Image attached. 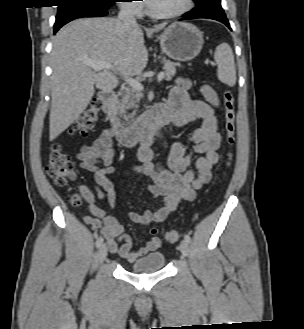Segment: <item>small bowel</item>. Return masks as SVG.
Returning a JSON list of instances; mask_svg holds the SVG:
<instances>
[{
  "instance_id": "1",
  "label": "small bowel",
  "mask_w": 304,
  "mask_h": 329,
  "mask_svg": "<svg viewBox=\"0 0 304 329\" xmlns=\"http://www.w3.org/2000/svg\"><path fill=\"white\" fill-rule=\"evenodd\" d=\"M191 89L192 84L188 79H178L170 90L164 107L171 110L172 123L176 126H186L197 119L202 120L201 126L191 130L187 138L193 152L200 156L192 167V154L185 142L177 141L172 146L168 168L158 167L151 161H142L124 171L123 176L132 171L149 175L152 182L148 190L152 198L163 197L162 206L157 211L131 212L129 217L134 223L149 225L163 222L180 201L193 200L196 191L208 184L212 178V167L219 161L218 150L221 145V135L214 114L219 98L210 85H203L200 89L206 101L193 99ZM112 138V129L107 128L77 153L81 168L93 173L95 178V192L84 185L79 187V191L92 215L84 217L85 223L101 232L111 254H117L132 263L149 252L161 249L162 241L154 237L146 246L133 250V241L125 233L123 226L95 203L98 199L106 200L111 207L115 204L114 184L108 178V175L115 171ZM101 164L104 165L103 168L100 167Z\"/></svg>"
}]
</instances>
